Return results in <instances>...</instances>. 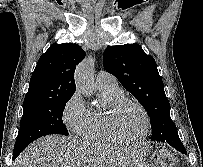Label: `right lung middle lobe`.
<instances>
[{
  "instance_id": "dd1d6c3e",
  "label": "right lung middle lobe",
  "mask_w": 203,
  "mask_h": 167,
  "mask_svg": "<svg viewBox=\"0 0 203 167\" xmlns=\"http://www.w3.org/2000/svg\"><path fill=\"white\" fill-rule=\"evenodd\" d=\"M72 96L24 102L20 130L13 156L20 153L34 140L49 134L68 135L62 115Z\"/></svg>"
}]
</instances>
